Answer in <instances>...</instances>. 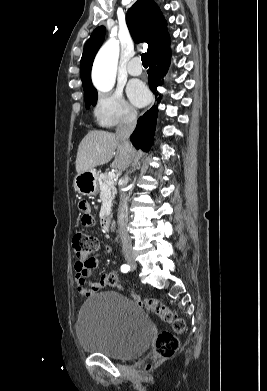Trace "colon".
I'll use <instances>...</instances> for the list:
<instances>
[{
	"label": "colon",
	"mask_w": 267,
	"mask_h": 391,
	"mask_svg": "<svg viewBox=\"0 0 267 391\" xmlns=\"http://www.w3.org/2000/svg\"><path fill=\"white\" fill-rule=\"evenodd\" d=\"M72 246L78 264L89 265L93 263L94 252L98 249V239L89 233L78 232L73 236ZM108 284L118 286L115 274L109 273ZM133 300L155 314L163 322L169 323L176 334L185 330V322L174 311L157 299L142 298L137 294L132 295ZM176 334L170 331H162L158 334L154 344V359L161 360L172 357L179 348V340ZM149 367V366H148Z\"/></svg>",
	"instance_id": "colon-1"
}]
</instances>
